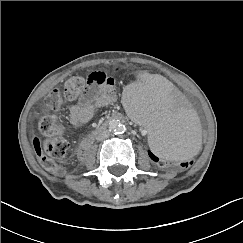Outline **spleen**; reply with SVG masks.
<instances>
[{
    "label": "spleen",
    "instance_id": "spleen-1",
    "mask_svg": "<svg viewBox=\"0 0 243 243\" xmlns=\"http://www.w3.org/2000/svg\"><path fill=\"white\" fill-rule=\"evenodd\" d=\"M124 104L132 119L147 124L145 140L152 153L172 162L196 155L201 138L195 114L170 81L139 77L128 87Z\"/></svg>",
    "mask_w": 243,
    "mask_h": 243
}]
</instances>
